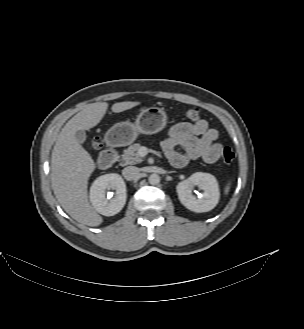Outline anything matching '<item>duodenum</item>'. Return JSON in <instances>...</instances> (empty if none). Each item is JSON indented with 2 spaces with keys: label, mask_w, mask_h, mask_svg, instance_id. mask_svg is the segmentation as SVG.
I'll return each instance as SVG.
<instances>
[{
  "label": "duodenum",
  "mask_w": 304,
  "mask_h": 329,
  "mask_svg": "<svg viewBox=\"0 0 304 329\" xmlns=\"http://www.w3.org/2000/svg\"><path fill=\"white\" fill-rule=\"evenodd\" d=\"M117 159V152L114 147H107L99 157V166L101 169L106 170L111 167V165Z\"/></svg>",
  "instance_id": "1"
}]
</instances>
